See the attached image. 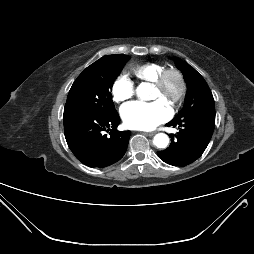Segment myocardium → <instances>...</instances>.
Returning a JSON list of instances; mask_svg holds the SVG:
<instances>
[{
    "mask_svg": "<svg viewBox=\"0 0 254 254\" xmlns=\"http://www.w3.org/2000/svg\"><path fill=\"white\" fill-rule=\"evenodd\" d=\"M168 76H173L178 85L177 93L172 103V109L174 110L182 103L187 87L182 72L175 67L162 68L158 72L156 79L153 81V86L158 90H163Z\"/></svg>",
    "mask_w": 254,
    "mask_h": 254,
    "instance_id": "1",
    "label": "myocardium"
}]
</instances>
